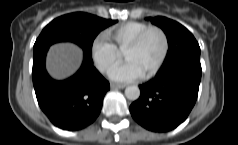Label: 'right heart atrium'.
Returning a JSON list of instances; mask_svg holds the SVG:
<instances>
[{
    "mask_svg": "<svg viewBox=\"0 0 238 145\" xmlns=\"http://www.w3.org/2000/svg\"><path fill=\"white\" fill-rule=\"evenodd\" d=\"M90 53L95 67L101 73H109L119 62L121 53L104 35H97L91 43Z\"/></svg>",
    "mask_w": 238,
    "mask_h": 145,
    "instance_id": "obj_1",
    "label": "right heart atrium"
}]
</instances>
